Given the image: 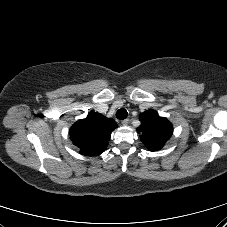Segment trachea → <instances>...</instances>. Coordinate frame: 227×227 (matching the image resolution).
I'll list each match as a JSON object with an SVG mask.
<instances>
[{
    "instance_id": "1",
    "label": "trachea",
    "mask_w": 227,
    "mask_h": 227,
    "mask_svg": "<svg viewBox=\"0 0 227 227\" xmlns=\"http://www.w3.org/2000/svg\"><path fill=\"white\" fill-rule=\"evenodd\" d=\"M127 116H128V112L124 108H121L116 112V117L119 120H124Z\"/></svg>"
}]
</instances>
